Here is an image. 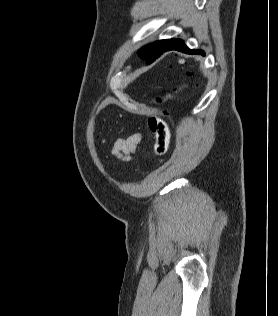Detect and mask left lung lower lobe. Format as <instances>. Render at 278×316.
Listing matches in <instances>:
<instances>
[{
    "label": "left lung lower lobe",
    "instance_id": "left-lung-lower-lobe-1",
    "mask_svg": "<svg viewBox=\"0 0 278 316\" xmlns=\"http://www.w3.org/2000/svg\"><path fill=\"white\" fill-rule=\"evenodd\" d=\"M177 50L180 52L188 53V54H199L205 55V53L201 50H191L189 49L182 40L180 39H172V41L168 44V46L164 49L163 52Z\"/></svg>",
    "mask_w": 278,
    "mask_h": 316
}]
</instances>
